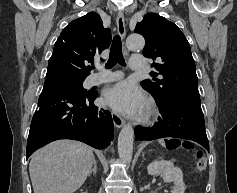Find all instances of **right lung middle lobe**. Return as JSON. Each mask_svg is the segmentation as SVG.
<instances>
[{"label": "right lung middle lobe", "instance_id": "right-lung-middle-lobe-1", "mask_svg": "<svg viewBox=\"0 0 237 193\" xmlns=\"http://www.w3.org/2000/svg\"><path fill=\"white\" fill-rule=\"evenodd\" d=\"M84 79L85 78L68 75L61 71L51 70L47 71L44 86L61 85L76 93L86 94L87 91L83 88Z\"/></svg>", "mask_w": 237, "mask_h": 193}]
</instances>
